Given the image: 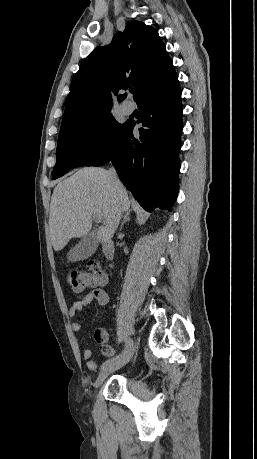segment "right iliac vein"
<instances>
[{"label": "right iliac vein", "instance_id": "1", "mask_svg": "<svg viewBox=\"0 0 257 459\" xmlns=\"http://www.w3.org/2000/svg\"><path fill=\"white\" fill-rule=\"evenodd\" d=\"M134 350L135 344L133 343L130 350L123 358H121L118 362L108 366L100 372V374L94 382V387H99L111 373L123 367L132 358Z\"/></svg>", "mask_w": 257, "mask_h": 459}]
</instances>
